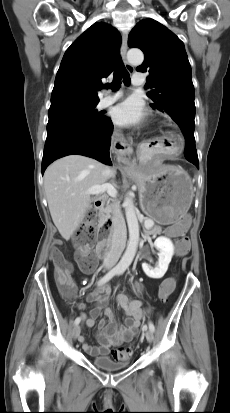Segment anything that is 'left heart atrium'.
<instances>
[{
	"label": "left heart atrium",
	"mask_w": 230,
	"mask_h": 413,
	"mask_svg": "<svg viewBox=\"0 0 230 413\" xmlns=\"http://www.w3.org/2000/svg\"><path fill=\"white\" fill-rule=\"evenodd\" d=\"M111 117L118 126H136L144 120L145 112L138 99L129 98L114 107Z\"/></svg>",
	"instance_id": "1"
}]
</instances>
